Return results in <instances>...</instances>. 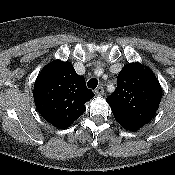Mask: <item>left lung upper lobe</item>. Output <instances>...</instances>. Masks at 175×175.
I'll use <instances>...</instances> for the list:
<instances>
[{
  "instance_id": "5c2ea615",
  "label": "left lung upper lobe",
  "mask_w": 175,
  "mask_h": 175,
  "mask_svg": "<svg viewBox=\"0 0 175 175\" xmlns=\"http://www.w3.org/2000/svg\"><path fill=\"white\" fill-rule=\"evenodd\" d=\"M162 89L149 68L129 63L117 77V88L106 101L118 123L143 127L155 115L161 101Z\"/></svg>"
}]
</instances>
